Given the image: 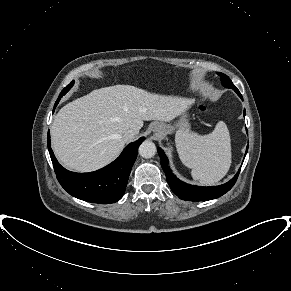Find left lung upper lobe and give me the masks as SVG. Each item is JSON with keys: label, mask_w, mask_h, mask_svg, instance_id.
I'll use <instances>...</instances> for the list:
<instances>
[{"label": "left lung upper lobe", "mask_w": 291, "mask_h": 291, "mask_svg": "<svg viewBox=\"0 0 291 291\" xmlns=\"http://www.w3.org/2000/svg\"><path fill=\"white\" fill-rule=\"evenodd\" d=\"M218 75L221 78V82L223 86L227 88H233L237 94H240L239 90L235 87V85L232 83V81L230 80L228 76H226L223 73H218Z\"/></svg>", "instance_id": "obj_1"}]
</instances>
